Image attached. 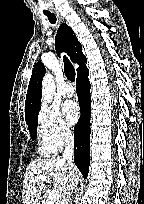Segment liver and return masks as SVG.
<instances>
[{
  "label": "liver",
  "mask_w": 144,
  "mask_h": 204,
  "mask_svg": "<svg viewBox=\"0 0 144 204\" xmlns=\"http://www.w3.org/2000/svg\"><path fill=\"white\" fill-rule=\"evenodd\" d=\"M40 175L49 178L53 184L52 190L57 191L62 197L67 196L76 183L73 174L69 173V166L63 159H34L28 164L24 173L23 204H37L41 193L49 188L43 181L35 180V177ZM79 179L78 172L77 182Z\"/></svg>",
  "instance_id": "obj_1"
}]
</instances>
